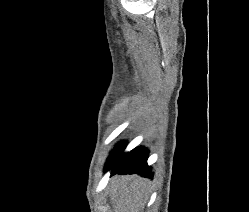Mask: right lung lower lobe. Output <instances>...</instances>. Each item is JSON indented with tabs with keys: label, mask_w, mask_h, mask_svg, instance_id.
I'll list each match as a JSON object with an SVG mask.
<instances>
[{
	"label": "right lung lower lobe",
	"mask_w": 249,
	"mask_h": 212,
	"mask_svg": "<svg viewBox=\"0 0 249 212\" xmlns=\"http://www.w3.org/2000/svg\"><path fill=\"white\" fill-rule=\"evenodd\" d=\"M126 142H120L111 152L105 163V171L111 174H140L142 177L152 176V169L147 165L148 151L144 147H137L124 154Z\"/></svg>",
	"instance_id": "right-lung-lower-lobe-1"
}]
</instances>
